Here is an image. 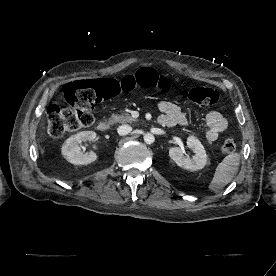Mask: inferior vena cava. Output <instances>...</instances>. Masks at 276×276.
<instances>
[{
    "instance_id": "obj_1",
    "label": "inferior vena cava",
    "mask_w": 276,
    "mask_h": 276,
    "mask_svg": "<svg viewBox=\"0 0 276 276\" xmlns=\"http://www.w3.org/2000/svg\"><path fill=\"white\" fill-rule=\"evenodd\" d=\"M131 131H132V128L129 125H121L117 129L118 134L121 136L129 134Z\"/></svg>"
}]
</instances>
